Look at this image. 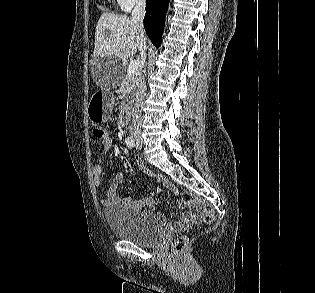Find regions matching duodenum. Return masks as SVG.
<instances>
[{
	"instance_id": "410a0bca",
	"label": "duodenum",
	"mask_w": 315,
	"mask_h": 293,
	"mask_svg": "<svg viewBox=\"0 0 315 293\" xmlns=\"http://www.w3.org/2000/svg\"><path fill=\"white\" fill-rule=\"evenodd\" d=\"M131 119V112L128 106H124L121 111L120 121L123 125L129 124Z\"/></svg>"
}]
</instances>
